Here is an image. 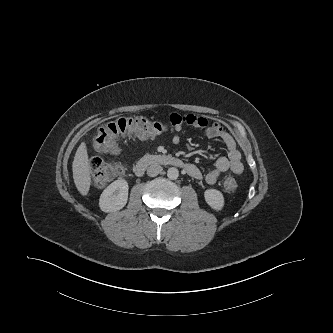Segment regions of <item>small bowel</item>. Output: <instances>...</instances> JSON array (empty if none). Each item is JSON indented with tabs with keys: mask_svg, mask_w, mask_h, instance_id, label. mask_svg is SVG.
<instances>
[{
	"mask_svg": "<svg viewBox=\"0 0 333 333\" xmlns=\"http://www.w3.org/2000/svg\"><path fill=\"white\" fill-rule=\"evenodd\" d=\"M170 122L173 126L172 141L174 144L180 143V134L182 133L185 125L203 128L205 129V134L209 139H219L225 144L227 148V155L219 157L215 162L214 168L205 174L204 179L208 184H215L219 176L228 170L237 175L243 172L244 166L241 161V154L237 148L236 142L232 135L223 129V127L219 124H210L208 120L203 117L182 115L178 113L170 115ZM188 164L190 165V169L188 170L189 175L195 179L202 178L200 170L194 164Z\"/></svg>",
	"mask_w": 333,
	"mask_h": 333,
	"instance_id": "small-bowel-1",
	"label": "small bowel"
}]
</instances>
